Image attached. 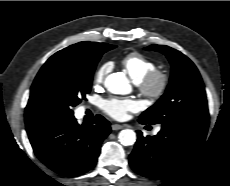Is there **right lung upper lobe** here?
<instances>
[{
	"instance_id": "obj_1",
	"label": "right lung upper lobe",
	"mask_w": 230,
	"mask_h": 186,
	"mask_svg": "<svg viewBox=\"0 0 230 186\" xmlns=\"http://www.w3.org/2000/svg\"><path fill=\"white\" fill-rule=\"evenodd\" d=\"M101 43L97 42H80L74 45H71L56 54H62V53H71V54H84L88 53L92 50H94L97 45ZM48 119L46 114L44 113V110L38 101L37 93L32 85L31 87V93L30 98L28 100V104L25 108V123L26 127H29L34 124H38L42 122L43 120Z\"/></svg>"
}]
</instances>
